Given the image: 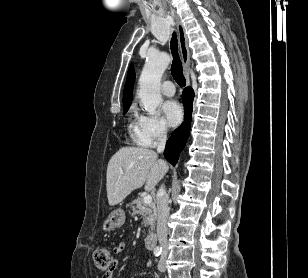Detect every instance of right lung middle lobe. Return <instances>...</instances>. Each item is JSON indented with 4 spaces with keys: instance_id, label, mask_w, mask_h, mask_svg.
<instances>
[{
    "instance_id": "obj_1",
    "label": "right lung middle lobe",
    "mask_w": 308,
    "mask_h": 278,
    "mask_svg": "<svg viewBox=\"0 0 308 278\" xmlns=\"http://www.w3.org/2000/svg\"><path fill=\"white\" fill-rule=\"evenodd\" d=\"M123 106H124L123 114H125L129 109L130 102H125V103L123 102Z\"/></svg>"
}]
</instances>
